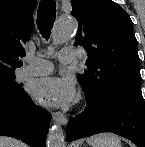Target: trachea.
I'll use <instances>...</instances> for the list:
<instances>
[{
  "instance_id": "obj_1",
  "label": "trachea",
  "mask_w": 145,
  "mask_h": 147,
  "mask_svg": "<svg viewBox=\"0 0 145 147\" xmlns=\"http://www.w3.org/2000/svg\"><path fill=\"white\" fill-rule=\"evenodd\" d=\"M37 26L41 35L48 39L56 18L55 0H42L38 8Z\"/></svg>"
}]
</instances>
